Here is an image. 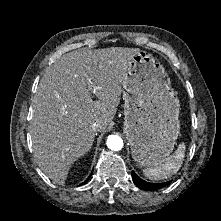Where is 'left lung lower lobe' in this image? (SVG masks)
Segmentation results:
<instances>
[{"label":"left lung lower lobe","instance_id":"1","mask_svg":"<svg viewBox=\"0 0 221 221\" xmlns=\"http://www.w3.org/2000/svg\"><path fill=\"white\" fill-rule=\"evenodd\" d=\"M132 179L134 184L145 191H155L160 188H163L167 186L170 182H164V183H149L144 180H142L139 176L136 175L134 171H132Z\"/></svg>","mask_w":221,"mask_h":221}]
</instances>
